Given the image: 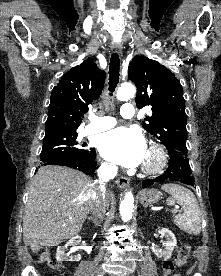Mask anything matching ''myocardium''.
<instances>
[{
  "mask_svg": "<svg viewBox=\"0 0 221 276\" xmlns=\"http://www.w3.org/2000/svg\"><path fill=\"white\" fill-rule=\"evenodd\" d=\"M168 161L166 149L158 143L150 145L147 152V160L142 166V171L146 174H157L161 172Z\"/></svg>",
  "mask_w": 221,
  "mask_h": 276,
  "instance_id": "obj_1",
  "label": "myocardium"
}]
</instances>
